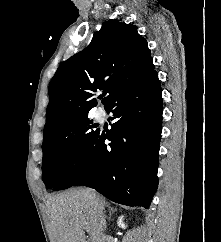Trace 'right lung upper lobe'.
<instances>
[{"instance_id":"1","label":"right lung upper lobe","mask_w":221,"mask_h":242,"mask_svg":"<svg viewBox=\"0 0 221 242\" xmlns=\"http://www.w3.org/2000/svg\"><path fill=\"white\" fill-rule=\"evenodd\" d=\"M154 70L147 41L132 24L109 20L90 44L60 64L49 85L44 137L88 115L103 90L106 109L124 90Z\"/></svg>"}]
</instances>
